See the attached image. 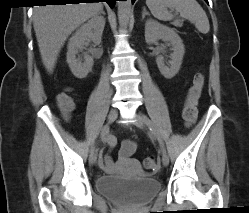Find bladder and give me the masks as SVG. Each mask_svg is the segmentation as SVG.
I'll list each match as a JSON object with an SVG mask.
<instances>
[{"instance_id":"31cf9c89","label":"bladder","mask_w":249,"mask_h":213,"mask_svg":"<svg viewBox=\"0 0 249 213\" xmlns=\"http://www.w3.org/2000/svg\"><path fill=\"white\" fill-rule=\"evenodd\" d=\"M99 193L124 205H142L151 200L160 190V182L142 175L137 178L101 176L96 181Z\"/></svg>"}]
</instances>
